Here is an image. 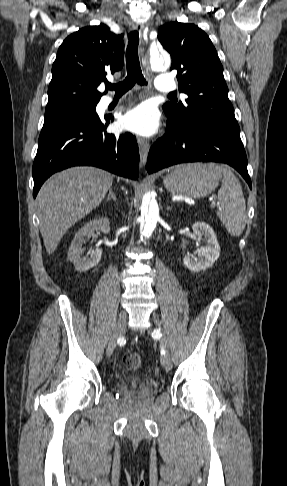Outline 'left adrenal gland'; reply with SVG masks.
I'll return each mask as SVG.
<instances>
[{
	"instance_id": "a2214340",
	"label": "left adrenal gland",
	"mask_w": 287,
	"mask_h": 486,
	"mask_svg": "<svg viewBox=\"0 0 287 486\" xmlns=\"http://www.w3.org/2000/svg\"><path fill=\"white\" fill-rule=\"evenodd\" d=\"M166 209L170 211L172 209V207L168 206Z\"/></svg>"
}]
</instances>
